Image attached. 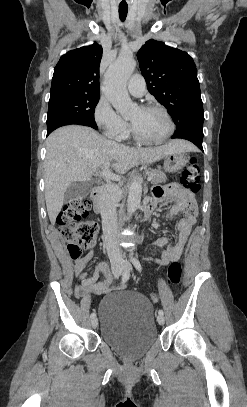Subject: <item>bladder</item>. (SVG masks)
Listing matches in <instances>:
<instances>
[{"label":"bladder","instance_id":"obj_1","mask_svg":"<svg viewBox=\"0 0 247 407\" xmlns=\"http://www.w3.org/2000/svg\"><path fill=\"white\" fill-rule=\"evenodd\" d=\"M97 320L102 340L128 361L141 359L158 340L152 304L133 291L105 297Z\"/></svg>","mask_w":247,"mask_h":407}]
</instances>
